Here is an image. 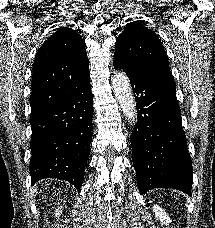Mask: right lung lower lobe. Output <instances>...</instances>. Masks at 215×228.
<instances>
[{
	"instance_id": "1",
	"label": "right lung lower lobe",
	"mask_w": 215,
	"mask_h": 228,
	"mask_svg": "<svg viewBox=\"0 0 215 228\" xmlns=\"http://www.w3.org/2000/svg\"><path fill=\"white\" fill-rule=\"evenodd\" d=\"M68 93L30 116L31 183L58 178L78 190L83 182L92 141L93 97L90 75L69 83Z\"/></svg>"
}]
</instances>
